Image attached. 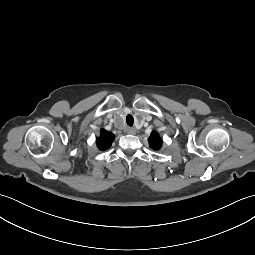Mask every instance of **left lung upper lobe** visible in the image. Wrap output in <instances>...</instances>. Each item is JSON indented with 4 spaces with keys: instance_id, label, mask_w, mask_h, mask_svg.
Here are the masks:
<instances>
[{
    "instance_id": "obj_1",
    "label": "left lung upper lobe",
    "mask_w": 255,
    "mask_h": 255,
    "mask_svg": "<svg viewBox=\"0 0 255 255\" xmlns=\"http://www.w3.org/2000/svg\"><path fill=\"white\" fill-rule=\"evenodd\" d=\"M149 145L154 150L159 149V147L162 145V140L159 137V134L153 131L149 137Z\"/></svg>"
}]
</instances>
